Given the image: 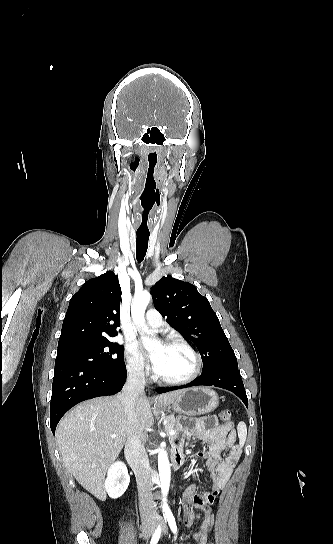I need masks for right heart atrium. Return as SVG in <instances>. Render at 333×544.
<instances>
[{
    "label": "right heart atrium",
    "instance_id": "d8ad5b80",
    "mask_svg": "<svg viewBox=\"0 0 333 544\" xmlns=\"http://www.w3.org/2000/svg\"><path fill=\"white\" fill-rule=\"evenodd\" d=\"M125 359L126 369L130 376L138 380H145L148 377V368L132 343H129L126 347Z\"/></svg>",
    "mask_w": 333,
    "mask_h": 544
}]
</instances>
